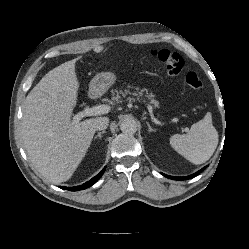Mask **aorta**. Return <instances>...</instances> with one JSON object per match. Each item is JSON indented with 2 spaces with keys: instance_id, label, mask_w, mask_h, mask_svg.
Instances as JSON below:
<instances>
[{
  "instance_id": "aorta-1",
  "label": "aorta",
  "mask_w": 249,
  "mask_h": 249,
  "mask_svg": "<svg viewBox=\"0 0 249 249\" xmlns=\"http://www.w3.org/2000/svg\"><path fill=\"white\" fill-rule=\"evenodd\" d=\"M120 129L124 134L133 135L137 131V123L135 120L127 118L121 122Z\"/></svg>"
}]
</instances>
